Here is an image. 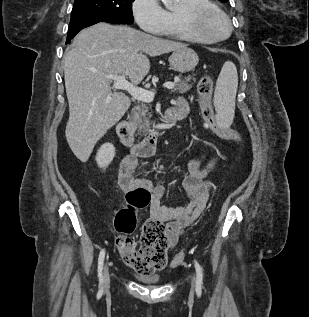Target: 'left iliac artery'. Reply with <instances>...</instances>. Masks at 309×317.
<instances>
[{"instance_id": "44dca946", "label": "left iliac artery", "mask_w": 309, "mask_h": 317, "mask_svg": "<svg viewBox=\"0 0 309 317\" xmlns=\"http://www.w3.org/2000/svg\"><path fill=\"white\" fill-rule=\"evenodd\" d=\"M194 263L196 269V286L197 290L200 291L203 284V271L200 264L196 260H194Z\"/></svg>"}]
</instances>
